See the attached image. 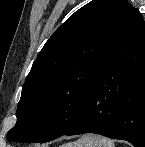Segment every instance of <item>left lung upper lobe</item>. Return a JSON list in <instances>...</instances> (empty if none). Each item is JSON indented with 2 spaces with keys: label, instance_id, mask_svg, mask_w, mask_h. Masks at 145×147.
Returning <instances> with one entry per match:
<instances>
[{
  "label": "left lung upper lobe",
  "instance_id": "left-lung-upper-lobe-1",
  "mask_svg": "<svg viewBox=\"0 0 145 147\" xmlns=\"http://www.w3.org/2000/svg\"><path fill=\"white\" fill-rule=\"evenodd\" d=\"M126 0H92L61 25L22 87L11 142H47L79 118L125 21Z\"/></svg>",
  "mask_w": 145,
  "mask_h": 147
}]
</instances>
